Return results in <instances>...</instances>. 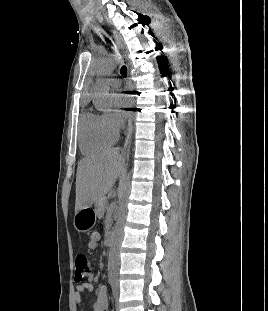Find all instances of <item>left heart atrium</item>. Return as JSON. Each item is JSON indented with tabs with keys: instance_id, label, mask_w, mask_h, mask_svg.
<instances>
[{
	"instance_id": "39dd6f15",
	"label": "left heart atrium",
	"mask_w": 268,
	"mask_h": 311,
	"mask_svg": "<svg viewBox=\"0 0 268 311\" xmlns=\"http://www.w3.org/2000/svg\"><path fill=\"white\" fill-rule=\"evenodd\" d=\"M113 97H115V98L127 97V95H125V94H114ZM129 104H130V102H128V101H118V102H116V105L118 107H124V106H127Z\"/></svg>"
}]
</instances>
